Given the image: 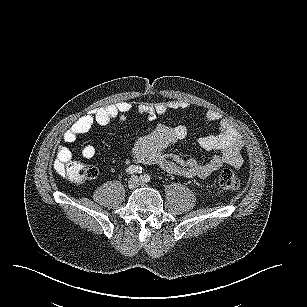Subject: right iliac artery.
Returning <instances> with one entry per match:
<instances>
[{
	"label": "right iliac artery",
	"mask_w": 307,
	"mask_h": 307,
	"mask_svg": "<svg viewBox=\"0 0 307 307\" xmlns=\"http://www.w3.org/2000/svg\"><path fill=\"white\" fill-rule=\"evenodd\" d=\"M127 174H141L142 173V168L138 166H130L129 168L126 169Z\"/></svg>",
	"instance_id": "obj_1"
}]
</instances>
